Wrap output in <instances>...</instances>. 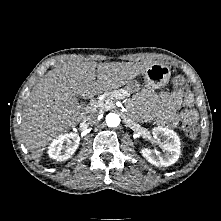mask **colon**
<instances>
[{"mask_svg":"<svg viewBox=\"0 0 221 221\" xmlns=\"http://www.w3.org/2000/svg\"><path fill=\"white\" fill-rule=\"evenodd\" d=\"M185 85L186 82L181 75H173L172 77L173 88H184ZM182 127L188 138L195 139L197 137L198 128L195 120L193 119L184 120L182 122Z\"/></svg>","mask_w":221,"mask_h":221,"instance_id":"1","label":"colon"}]
</instances>
